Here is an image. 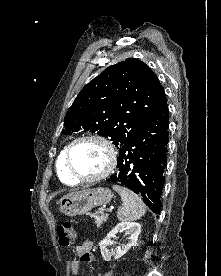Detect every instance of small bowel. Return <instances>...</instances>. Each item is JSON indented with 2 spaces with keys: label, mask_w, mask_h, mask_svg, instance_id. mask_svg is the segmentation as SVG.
<instances>
[{
  "label": "small bowel",
  "mask_w": 221,
  "mask_h": 276,
  "mask_svg": "<svg viewBox=\"0 0 221 276\" xmlns=\"http://www.w3.org/2000/svg\"><path fill=\"white\" fill-rule=\"evenodd\" d=\"M92 243L85 241L76 247L77 259L70 262V269L74 275L79 273V263L82 261L93 262L95 260L94 255L91 252Z\"/></svg>",
  "instance_id": "c3829d8e"
}]
</instances>
